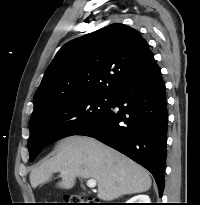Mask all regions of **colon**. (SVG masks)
<instances>
[{"label": "colon", "mask_w": 200, "mask_h": 205, "mask_svg": "<svg viewBox=\"0 0 200 205\" xmlns=\"http://www.w3.org/2000/svg\"><path fill=\"white\" fill-rule=\"evenodd\" d=\"M69 205H79V199L76 197H71L67 199Z\"/></svg>", "instance_id": "obj_1"}]
</instances>
